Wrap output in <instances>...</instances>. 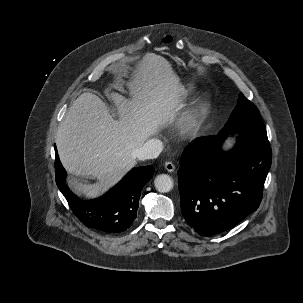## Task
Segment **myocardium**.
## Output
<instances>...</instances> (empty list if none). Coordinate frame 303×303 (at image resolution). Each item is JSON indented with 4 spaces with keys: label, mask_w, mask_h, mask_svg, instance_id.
I'll return each mask as SVG.
<instances>
[{
    "label": "myocardium",
    "mask_w": 303,
    "mask_h": 303,
    "mask_svg": "<svg viewBox=\"0 0 303 303\" xmlns=\"http://www.w3.org/2000/svg\"><path fill=\"white\" fill-rule=\"evenodd\" d=\"M208 102L205 99L199 100L194 106L182 117L179 129L180 132L186 137L195 136L207 115Z\"/></svg>",
    "instance_id": "f54148a6"
}]
</instances>
